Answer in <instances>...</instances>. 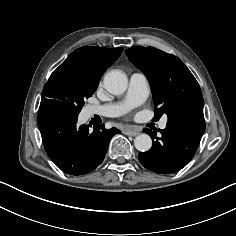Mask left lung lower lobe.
I'll return each mask as SVG.
<instances>
[{
	"label": "left lung lower lobe",
	"mask_w": 236,
	"mask_h": 236,
	"mask_svg": "<svg viewBox=\"0 0 236 236\" xmlns=\"http://www.w3.org/2000/svg\"><path fill=\"white\" fill-rule=\"evenodd\" d=\"M206 125L202 111H184L168 118L166 128L143 132L153 140L152 148L138 154L140 163L160 174L174 173L185 167L194 156Z\"/></svg>",
	"instance_id": "left-lung-lower-lobe-1"
}]
</instances>
